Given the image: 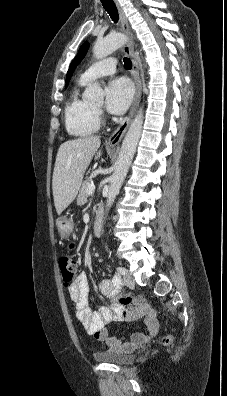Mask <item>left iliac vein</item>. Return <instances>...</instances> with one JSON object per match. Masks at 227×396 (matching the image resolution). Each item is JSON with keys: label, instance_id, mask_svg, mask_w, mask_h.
<instances>
[{"label": "left iliac vein", "instance_id": "left-iliac-vein-1", "mask_svg": "<svg viewBox=\"0 0 227 396\" xmlns=\"http://www.w3.org/2000/svg\"><path fill=\"white\" fill-rule=\"evenodd\" d=\"M125 270H126V269H125ZM123 283H124L127 287H129V288H132V287L134 286V284H135L133 277H132L131 274L128 273L127 271H126V273L123 275Z\"/></svg>", "mask_w": 227, "mask_h": 396}]
</instances>
